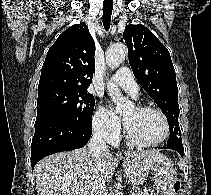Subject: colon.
I'll return each instance as SVG.
<instances>
[{"label":"colon","mask_w":211,"mask_h":195,"mask_svg":"<svg viewBox=\"0 0 211 195\" xmlns=\"http://www.w3.org/2000/svg\"><path fill=\"white\" fill-rule=\"evenodd\" d=\"M179 189H180V182L179 181H175L167 187V190L171 193H177L179 191Z\"/></svg>","instance_id":"colon-1"}]
</instances>
